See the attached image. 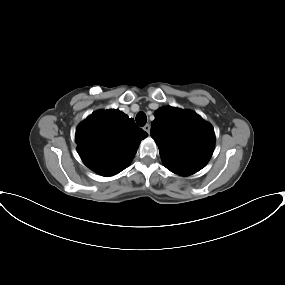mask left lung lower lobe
<instances>
[{"label": "left lung lower lobe", "mask_w": 285, "mask_h": 285, "mask_svg": "<svg viewBox=\"0 0 285 285\" xmlns=\"http://www.w3.org/2000/svg\"><path fill=\"white\" fill-rule=\"evenodd\" d=\"M171 172L178 174V175H182V176H188L191 174H194L195 172L191 171V170H186V169H179V168H170L167 167Z\"/></svg>", "instance_id": "obj_1"}]
</instances>
